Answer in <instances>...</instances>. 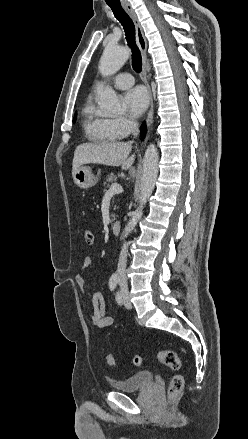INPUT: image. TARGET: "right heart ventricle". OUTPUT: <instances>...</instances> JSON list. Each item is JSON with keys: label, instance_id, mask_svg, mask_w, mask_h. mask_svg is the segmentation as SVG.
I'll use <instances>...</instances> for the list:
<instances>
[{"label": "right heart ventricle", "instance_id": "1", "mask_svg": "<svg viewBox=\"0 0 248 439\" xmlns=\"http://www.w3.org/2000/svg\"><path fill=\"white\" fill-rule=\"evenodd\" d=\"M82 124L87 137L98 143H112L121 139L112 126L111 119L102 115L90 96L82 107Z\"/></svg>", "mask_w": 248, "mask_h": 439}]
</instances>
